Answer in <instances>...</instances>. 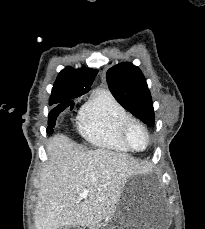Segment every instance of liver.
Instances as JSON below:
<instances>
[{"label":"liver","instance_id":"obj_1","mask_svg":"<svg viewBox=\"0 0 205 229\" xmlns=\"http://www.w3.org/2000/svg\"><path fill=\"white\" fill-rule=\"evenodd\" d=\"M34 212L36 229L89 227L110 217L128 179L140 164L128 154L89 150L64 135L47 144ZM89 189L88 198L79 194Z\"/></svg>","mask_w":205,"mask_h":229}]
</instances>
